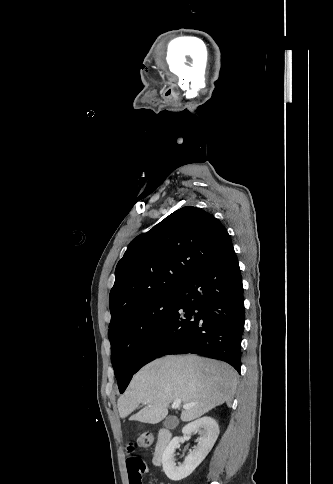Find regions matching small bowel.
Wrapping results in <instances>:
<instances>
[{
	"label": "small bowel",
	"mask_w": 333,
	"mask_h": 484,
	"mask_svg": "<svg viewBox=\"0 0 333 484\" xmlns=\"http://www.w3.org/2000/svg\"><path fill=\"white\" fill-rule=\"evenodd\" d=\"M133 450L132 445H129L126 459L129 484H142V474L148 472V468L144 460L139 455L134 454Z\"/></svg>",
	"instance_id": "c3829d8e"
}]
</instances>
